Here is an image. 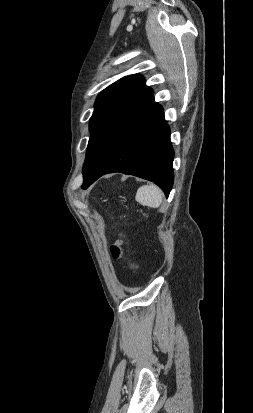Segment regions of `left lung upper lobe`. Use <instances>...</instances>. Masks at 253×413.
Here are the masks:
<instances>
[{
    "mask_svg": "<svg viewBox=\"0 0 253 413\" xmlns=\"http://www.w3.org/2000/svg\"><path fill=\"white\" fill-rule=\"evenodd\" d=\"M153 91L141 75L121 78L97 97L90 118L83 181L94 175L125 138L155 109Z\"/></svg>",
    "mask_w": 253,
    "mask_h": 413,
    "instance_id": "5c2ea615",
    "label": "left lung upper lobe"
}]
</instances>
